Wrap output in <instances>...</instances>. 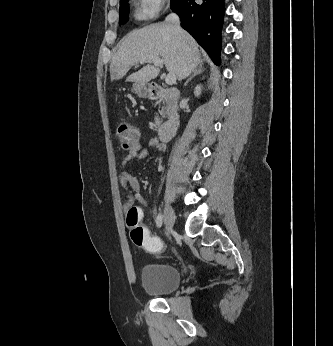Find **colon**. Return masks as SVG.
<instances>
[{
	"instance_id": "5ec220e1",
	"label": "colon",
	"mask_w": 333,
	"mask_h": 346,
	"mask_svg": "<svg viewBox=\"0 0 333 346\" xmlns=\"http://www.w3.org/2000/svg\"><path fill=\"white\" fill-rule=\"evenodd\" d=\"M117 138L123 149H132L138 143V131L128 122H122L117 128ZM141 210L136 206H130L127 210L126 224L130 229L132 242L143 247L145 254L158 256L163 250L164 241L159 235H151V227L141 225Z\"/></svg>"
}]
</instances>
